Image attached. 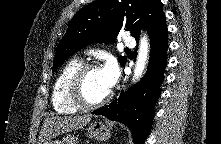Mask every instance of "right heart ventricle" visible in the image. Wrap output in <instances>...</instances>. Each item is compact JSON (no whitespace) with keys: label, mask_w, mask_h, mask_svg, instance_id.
Masks as SVG:
<instances>
[{"label":"right heart ventricle","mask_w":221,"mask_h":144,"mask_svg":"<svg viewBox=\"0 0 221 144\" xmlns=\"http://www.w3.org/2000/svg\"><path fill=\"white\" fill-rule=\"evenodd\" d=\"M83 64L79 58L69 60L60 70L52 89V104L58 113L73 114L80 110L68 96V82L73 73Z\"/></svg>","instance_id":"1"}]
</instances>
